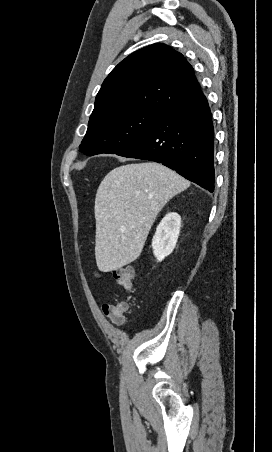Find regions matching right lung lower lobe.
Masks as SVG:
<instances>
[{"mask_svg": "<svg viewBox=\"0 0 272 452\" xmlns=\"http://www.w3.org/2000/svg\"><path fill=\"white\" fill-rule=\"evenodd\" d=\"M117 155L162 163L214 191V128L207 98L198 90L176 109L162 113Z\"/></svg>", "mask_w": 272, "mask_h": 452, "instance_id": "98d812e1", "label": "right lung lower lobe"}]
</instances>
